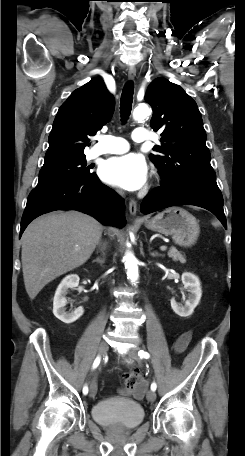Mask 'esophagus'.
Returning a JSON list of instances; mask_svg holds the SVG:
<instances>
[{"label":"esophagus","instance_id":"esophagus-1","mask_svg":"<svg viewBox=\"0 0 245 456\" xmlns=\"http://www.w3.org/2000/svg\"><path fill=\"white\" fill-rule=\"evenodd\" d=\"M136 76V68L135 67H130L128 69V78L130 80H133ZM129 212L132 216H135L137 213V203L135 200L131 199L129 201Z\"/></svg>","mask_w":245,"mask_h":456}]
</instances>
